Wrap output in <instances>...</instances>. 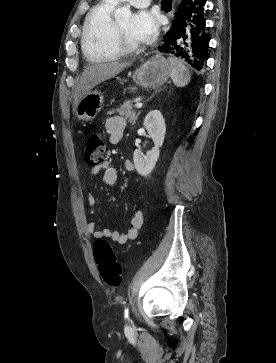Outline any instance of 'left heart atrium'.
<instances>
[{
  "mask_svg": "<svg viewBox=\"0 0 276 363\" xmlns=\"http://www.w3.org/2000/svg\"><path fill=\"white\" fill-rule=\"evenodd\" d=\"M132 27L141 41H150L158 32V17L150 11H138L133 16Z\"/></svg>",
  "mask_w": 276,
  "mask_h": 363,
  "instance_id": "39dd6f15",
  "label": "left heart atrium"
}]
</instances>
